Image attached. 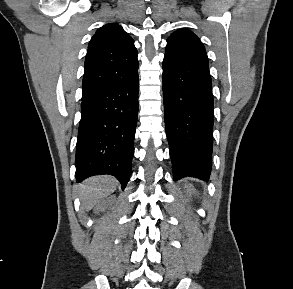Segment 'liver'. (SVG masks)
Returning <instances> with one entry per match:
<instances>
[{
  "label": "liver",
  "mask_w": 293,
  "mask_h": 289,
  "mask_svg": "<svg viewBox=\"0 0 293 289\" xmlns=\"http://www.w3.org/2000/svg\"><path fill=\"white\" fill-rule=\"evenodd\" d=\"M117 188V180L111 176H95L79 185V197L82 208L90 210L100 200L113 193Z\"/></svg>",
  "instance_id": "1"
}]
</instances>
